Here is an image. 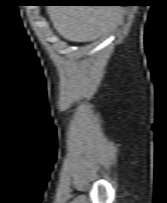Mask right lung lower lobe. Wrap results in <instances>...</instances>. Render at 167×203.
Returning a JSON list of instances; mask_svg holds the SVG:
<instances>
[{
	"label": "right lung lower lobe",
	"instance_id": "right-lung-lower-lobe-1",
	"mask_svg": "<svg viewBox=\"0 0 167 203\" xmlns=\"http://www.w3.org/2000/svg\"><path fill=\"white\" fill-rule=\"evenodd\" d=\"M93 1H96V2H99L101 4H98V6H115V5H124V4H120V2H115L114 0H93ZM97 6V4H96Z\"/></svg>",
	"mask_w": 167,
	"mask_h": 203
}]
</instances>
